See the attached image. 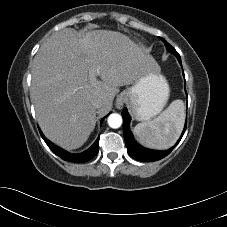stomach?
I'll return each mask as SVG.
<instances>
[{
    "mask_svg": "<svg viewBox=\"0 0 227 227\" xmlns=\"http://www.w3.org/2000/svg\"><path fill=\"white\" fill-rule=\"evenodd\" d=\"M169 92V85L160 69H152L127 88L123 95L134 118L149 121L161 112Z\"/></svg>",
    "mask_w": 227,
    "mask_h": 227,
    "instance_id": "stomach-1",
    "label": "stomach"
}]
</instances>
